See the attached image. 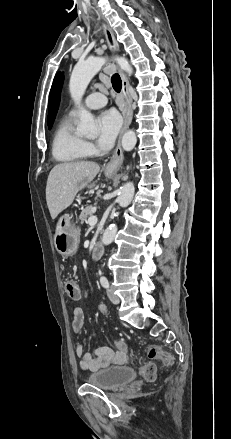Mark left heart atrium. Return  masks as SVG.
<instances>
[{
	"mask_svg": "<svg viewBox=\"0 0 231 439\" xmlns=\"http://www.w3.org/2000/svg\"><path fill=\"white\" fill-rule=\"evenodd\" d=\"M121 118L114 110L101 113L97 118L98 138L97 142L101 149H110L119 133Z\"/></svg>",
	"mask_w": 231,
	"mask_h": 439,
	"instance_id": "1",
	"label": "left heart atrium"
}]
</instances>
